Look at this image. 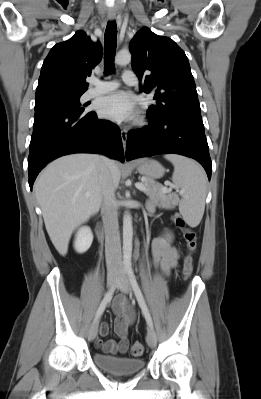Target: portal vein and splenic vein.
I'll return each mask as SVG.
<instances>
[{
  "label": "portal vein and splenic vein",
  "mask_w": 261,
  "mask_h": 399,
  "mask_svg": "<svg viewBox=\"0 0 261 399\" xmlns=\"http://www.w3.org/2000/svg\"><path fill=\"white\" fill-rule=\"evenodd\" d=\"M135 186H136V188L139 189L140 191L146 192V187L144 186L143 183L138 182V183H136ZM163 191H164V192H167L168 189H167L166 187H163Z\"/></svg>",
  "instance_id": "portal-vein-and-splenic-vein-1"
}]
</instances>
